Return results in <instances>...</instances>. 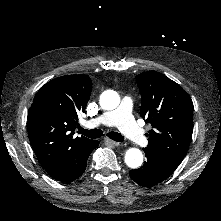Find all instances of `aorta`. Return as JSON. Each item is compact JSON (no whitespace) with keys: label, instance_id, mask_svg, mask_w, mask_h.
I'll use <instances>...</instances> for the list:
<instances>
[{"label":"aorta","instance_id":"762f6f07","mask_svg":"<svg viewBox=\"0 0 221 221\" xmlns=\"http://www.w3.org/2000/svg\"><path fill=\"white\" fill-rule=\"evenodd\" d=\"M119 103L120 97L115 91L105 92L100 96V106L105 110H113ZM124 160L128 167L136 169L143 163V154L137 148H129L125 152Z\"/></svg>","mask_w":221,"mask_h":221}]
</instances>
